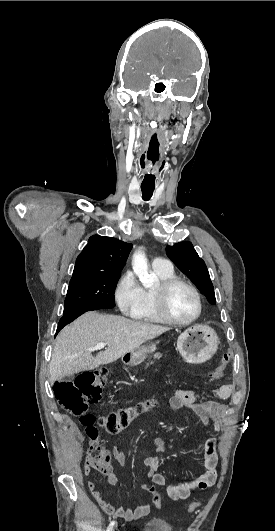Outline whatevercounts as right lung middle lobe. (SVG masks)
<instances>
[{
    "mask_svg": "<svg viewBox=\"0 0 275 531\" xmlns=\"http://www.w3.org/2000/svg\"><path fill=\"white\" fill-rule=\"evenodd\" d=\"M120 276L104 273L72 276L63 315L113 308L114 291Z\"/></svg>",
    "mask_w": 275,
    "mask_h": 531,
    "instance_id": "obj_1",
    "label": "right lung middle lobe"
}]
</instances>
